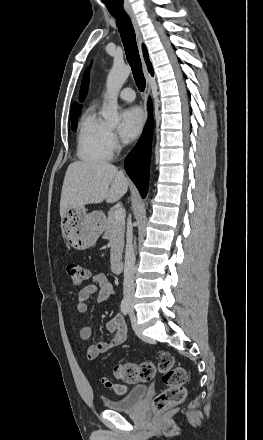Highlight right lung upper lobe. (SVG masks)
Listing matches in <instances>:
<instances>
[{
    "label": "right lung upper lobe",
    "instance_id": "obj_1",
    "mask_svg": "<svg viewBox=\"0 0 263 440\" xmlns=\"http://www.w3.org/2000/svg\"><path fill=\"white\" fill-rule=\"evenodd\" d=\"M143 52H144V58L146 60L148 69L151 72V75H153V69H152L151 63H150L149 58H148L146 47L144 45H143ZM88 84H89V72H88V70H86L85 73H84V76H83L81 90H80V100L81 101H83L85 99L86 95H87ZM79 114H80V107L78 106V104H76L74 102L73 105H72V108H71L70 119L75 117V116H78Z\"/></svg>",
    "mask_w": 263,
    "mask_h": 440
}]
</instances>
